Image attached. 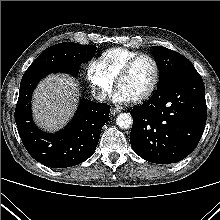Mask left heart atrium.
I'll list each match as a JSON object with an SVG mask.
<instances>
[{
  "mask_svg": "<svg viewBox=\"0 0 220 220\" xmlns=\"http://www.w3.org/2000/svg\"><path fill=\"white\" fill-rule=\"evenodd\" d=\"M113 99L116 103L119 104H125L132 101L131 97L119 88L114 93Z\"/></svg>",
  "mask_w": 220,
  "mask_h": 220,
  "instance_id": "obj_1",
  "label": "left heart atrium"
}]
</instances>
